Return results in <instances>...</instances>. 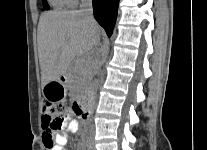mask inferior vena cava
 <instances>
[{
    "mask_svg": "<svg viewBox=\"0 0 207 150\" xmlns=\"http://www.w3.org/2000/svg\"><path fill=\"white\" fill-rule=\"evenodd\" d=\"M80 12H82L88 18L93 19L92 0H81ZM98 43L99 41L95 44L93 48L94 63L98 62V54H99Z\"/></svg>",
    "mask_w": 207,
    "mask_h": 150,
    "instance_id": "inferior-vena-cava-1",
    "label": "inferior vena cava"
}]
</instances>
